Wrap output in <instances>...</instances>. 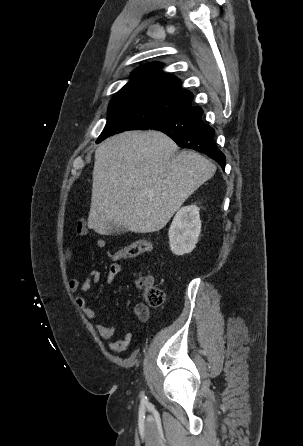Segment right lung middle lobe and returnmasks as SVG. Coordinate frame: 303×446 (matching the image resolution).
<instances>
[{
	"mask_svg": "<svg viewBox=\"0 0 303 446\" xmlns=\"http://www.w3.org/2000/svg\"><path fill=\"white\" fill-rule=\"evenodd\" d=\"M186 106H188L186 99H174L164 110H152L139 106L110 105L106 126L97 139V143L111 135L126 130L140 129L158 117L172 113Z\"/></svg>",
	"mask_w": 303,
	"mask_h": 446,
	"instance_id": "right-lung-middle-lobe-1",
	"label": "right lung middle lobe"
}]
</instances>
